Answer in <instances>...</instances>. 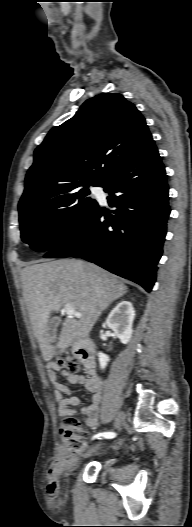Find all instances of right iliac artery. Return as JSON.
<instances>
[{
  "label": "right iliac artery",
  "mask_w": 192,
  "mask_h": 527,
  "mask_svg": "<svg viewBox=\"0 0 192 527\" xmlns=\"http://www.w3.org/2000/svg\"><path fill=\"white\" fill-rule=\"evenodd\" d=\"M115 436L116 434L114 432H100V433L95 434L92 439H100L101 437L111 439V438H114Z\"/></svg>",
  "instance_id": "82829eb1"
}]
</instances>
